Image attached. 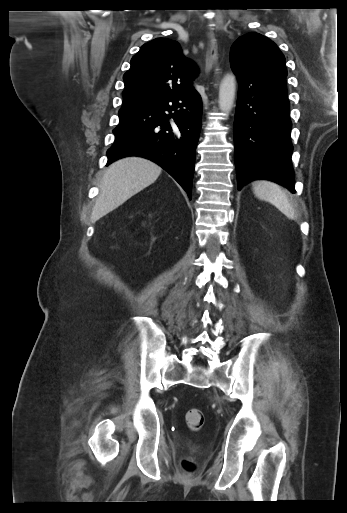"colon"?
Wrapping results in <instances>:
<instances>
[{
  "mask_svg": "<svg viewBox=\"0 0 347 513\" xmlns=\"http://www.w3.org/2000/svg\"><path fill=\"white\" fill-rule=\"evenodd\" d=\"M185 419L188 427L192 430H200L205 422L203 412L195 408L186 412ZM182 467L187 475H193L197 470L196 463L190 458H186L182 461Z\"/></svg>",
  "mask_w": 347,
  "mask_h": 513,
  "instance_id": "obj_1",
  "label": "colon"
}]
</instances>
